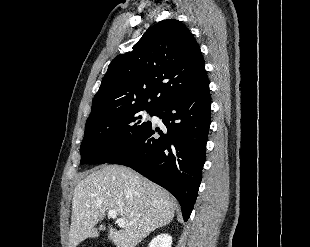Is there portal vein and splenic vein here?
<instances>
[{
  "label": "portal vein and splenic vein",
  "mask_w": 310,
  "mask_h": 247,
  "mask_svg": "<svg viewBox=\"0 0 310 247\" xmlns=\"http://www.w3.org/2000/svg\"><path fill=\"white\" fill-rule=\"evenodd\" d=\"M108 216L112 219H116V224L119 226V227H125L126 225V222L121 219V218H117V212L115 210H109L108 211Z\"/></svg>",
  "instance_id": "18ae733b"
}]
</instances>
